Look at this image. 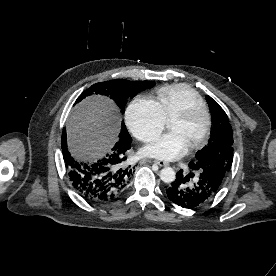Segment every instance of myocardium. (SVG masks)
I'll return each instance as SVG.
<instances>
[{
	"label": "myocardium",
	"instance_id": "myocardium-1",
	"mask_svg": "<svg viewBox=\"0 0 276 276\" xmlns=\"http://www.w3.org/2000/svg\"><path fill=\"white\" fill-rule=\"evenodd\" d=\"M199 115H202L204 117L205 126L201 137L193 145L190 146L191 150H197L202 148L206 144L210 136L212 120L207 107L200 106V105H192L182 110L172 118V120L179 119V120L189 121Z\"/></svg>",
	"mask_w": 276,
	"mask_h": 276
}]
</instances>
